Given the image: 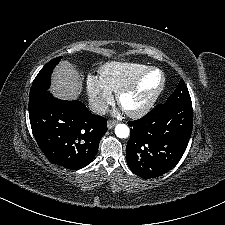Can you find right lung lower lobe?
Here are the masks:
<instances>
[{"mask_svg": "<svg viewBox=\"0 0 225 225\" xmlns=\"http://www.w3.org/2000/svg\"><path fill=\"white\" fill-rule=\"evenodd\" d=\"M29 118L36 142L48 160L77 170L95 157L107 120L77 100L54 98L48 91L29 97Z\"/></svg>", "mask_w": 225, "mask_h": 225, "instance_id": "98d812e1", "label": "right lung lower lobe"}]
</instances>
